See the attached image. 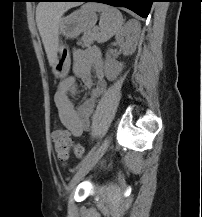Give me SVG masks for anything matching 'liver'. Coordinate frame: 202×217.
<instances>
[{"label":"liver","mask_w":202,"mask_h":217,"mask_svg":"<svg viewBox=\"0 0 202 217\" xmlns=\"http://www.w3.org/2000/svg\"><path fill=\"white\" fill-rule=\"evenodd\" d=\"M77 5L76 3L66 2H40L36 8L37 27L50 66H53L56 61L60 20L68 9Z\"/></svg>","instance_id":"obj_1"}]
</instances>
